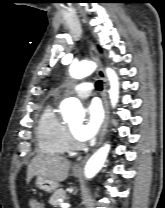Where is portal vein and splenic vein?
<instances>
[{"mask_svg":"<svg viewBox=\"0 0 165 208\" xmlns=\"http://www.w3.org/2000/svg\"><path fill=\"white\" fill-rule=\"evenodd\" d=\"M60 207L61 208H69L70 207V204H68V203H61L60 204Z\"/></svg>","mask_w":165,"mask_h":208,"instance_id":"1","label":"portal vein and splenic vein"}]
</instances>
